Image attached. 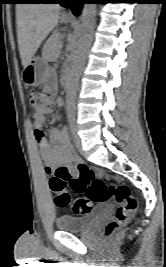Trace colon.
I'll return each mask as SVG.
<instances>
[{"label": "colon", "mask_w": 166, "mask_h": 267, "mask_svg": "<svg viewBox=\"0 0 166 267\" xmlns=\"http://www.w3.org/2000/svg\"><path fill=\"white\" fill-rule=\"evenodd\" d=\"M32 110L40 113L51 107V95L37 89L28 94ZM84 197L72 200L66 186ZM49 186L56 195L55 202L58 207H71L76 215L88 214L95 203L114 200L118 203L115 218L105 228V237L112 236L118 229L127 224L137 209L138 202L131 195L126 184L109 185L96 177L94 171L85 163L77 162L72 167L59 166L53 171Z\"/></svg>", "instance_id": "colon-1"}]
</instances>
